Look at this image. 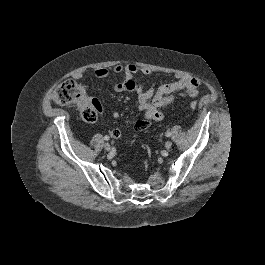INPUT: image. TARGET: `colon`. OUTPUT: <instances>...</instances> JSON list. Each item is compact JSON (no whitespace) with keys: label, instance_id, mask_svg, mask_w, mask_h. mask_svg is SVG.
Returning a JSON list of instances; mask_svg holds the SVG:
<instances>
[{"label":"colon","instance_id":"5ec220e1","mask_svg":"<svg viewBox=\"0 0 265 265\" xmlns=\"http://www.w3.org/2000/svg\"><path fill=\"white\" fill-rule=\"evenodd\" d=\"M51 98L60 105H76L79 108L82 118L87 122H94L101 110L97 101L90 100L85 89L77 82L69 80L57 86L52 92ZM191 109L197 107V103L192 101Z\"/></svg>","mask_w":265,"mask_h":265}]
</instances>
